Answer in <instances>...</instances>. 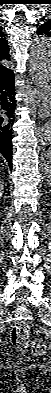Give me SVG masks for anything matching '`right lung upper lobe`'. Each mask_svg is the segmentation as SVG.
I'll use <instances>...</instances> for the list:
<instances>
[{"mask_svg":"<svg viewBox=\"0 0 51 393\" xmlns=\"http://www.w3.org/2000/svg\"><path fill=\"white\" fill-rule=\"evenodd\" d=\"M9 57L8 41L6 40L2 32V27L0 26V78L8 74L11 70L1 65V61L4 59L8 60Z\"/></svg>","mask_w":51,"mask_h":393,"instance_id":"obj_1","label":"right lung upper lobe"}]
</instances>
